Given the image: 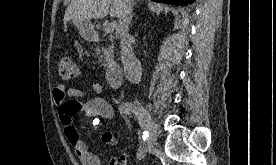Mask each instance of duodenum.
I'll return each mask as SVG.
<instances>
[{
    "instance_id": "1",
    "label": "duodenum",
    "mask_w": 276,
    "mask_h": 165,
    "mask_svg": "<svg viewBox=\"0 0 276 165\" xmlns=\"http://www.w3.org/2000/svg\"><path fill=\"white\" fill-rule=\"evenodd\" d=\"M106 77L112 88L119 87L123 78V68L121 64L117 61L110 62L106 70Z\"/></svg>"
}]
</instances>
